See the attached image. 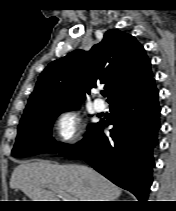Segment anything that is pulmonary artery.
<instances>
[{"mask_svg":"<svg viewBox=\"0 0 176 211\" xmlns=\"http://www.w3.org/2000/svg\"><path fill=\"white\" fill-rule=\"evenodd\" d=\"M106 108V105L104 103V101L102 99H95L94 101V109L97 111V112H102L104 111Z\"/></svg>","mask_w":176,"mask_h":211,"instance_id":"1","label":"pulmonary artery"}]
</instances>
